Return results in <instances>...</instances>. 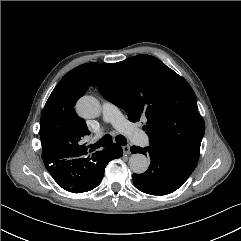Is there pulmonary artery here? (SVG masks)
<instances>
[{"instance_id": "obj_1", "label": "pulmonary artery", "mask_w": 241, "mask_h": 241, "mask_svg": "<svg viewBox=\"0 0 241 241\" xmlns=\"http://www.w3.org/2000/svg\"><path fill=\"white\" fill-rule=\"evenodd\" d=\"M102 114L105 122L111 123L119 132L127 135L136 144L145 146L149 143L147 135L130 123L111 102L106 100L103 101Z\"/></svg>"}]
</instances>
